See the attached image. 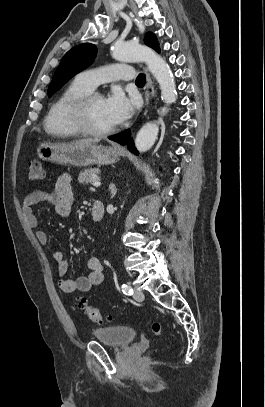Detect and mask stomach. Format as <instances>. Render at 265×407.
Instances as JSON below:
<instances>
[{"label":"stomach","mask_w":265,"mask_h":407,"mask_svg":"<svg viewBox=\"0 0 265 407\" xmlns=\"http://www.w3.org/2000/svg\"><path fill=\"white\" fill-rule=\"evenodd\" d=\"M37 156L48 162L85 167L94 164L111 165L116 163L119 153L112 147L95 144L52 143L39 144Z\"/></svg>","instance_id":"1"}]
</instances>
